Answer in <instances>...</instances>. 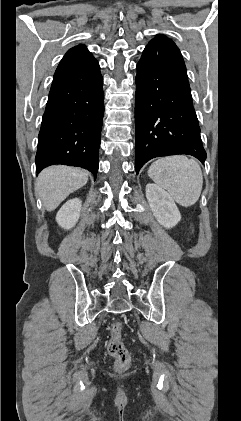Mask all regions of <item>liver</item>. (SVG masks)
Listing matches in <instances>:
<instances>
[{
  "mask_svg": "<svg viewBox=\"0 0 241 421\" xmlns=\"http://www.w3.org/2000/svg\"><path fill=\"white\" fill-rule=\"evenodd\" d=\"M88 173L79 168L51 166L38 176L36 192L47 211L55 210L71 193L83 187Z\"/></svg>",
  "mask_w": 241,
  "mask_h": 421,
  "instance_id": "obj_1",
  "label": "liver"
}]
</instances>
